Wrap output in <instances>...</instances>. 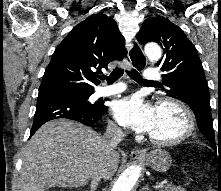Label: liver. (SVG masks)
Returning a JSON list of instances; mask_svg holds the SVG:
<instances>
[{"label":"liver","mask_w":221,"mask_h":191,"mask_svg":"<svg viewBox=\"0 0 221 191\" xmlns=\"http://www.w3.org/2000/svg\"><path fill=\"white\" fill-rule=\"evenodd\" d=\"M118 164L119 155L105 154L102 137L95 130L67 119L49 121L27 143L21 191L84 186L102 166L105 179H110Z\"/></svg>","instance_id":"6515ba94"}]
</instances>
